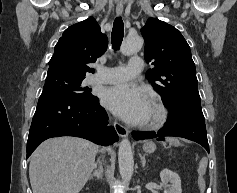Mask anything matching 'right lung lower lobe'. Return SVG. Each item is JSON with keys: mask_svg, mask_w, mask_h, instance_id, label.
Masks as SVG:
<instances>
[{"mask_svg": "<svg viewBox=\"0 0 237 193\" xmlns=\"http://www.w3.org/2000/svg\"><path fill=\"white\" fill-rule=\"evenodd\" d=\"M107 124V113L96 96L76 101L58 92H42L29 131L27 158L51 137L75 136L99 145H112L118 141V135Z\"/></svg>", "mask_w": 237, "mask_h": 193, "instance_id": "1", "label": "right lung lower lobe"}]
</instances>
